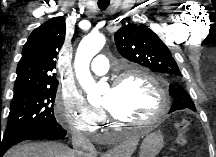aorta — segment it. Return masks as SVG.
<instances>
[{
	"label": "aorta",
	"instance_id": "obj_1",
	"mask_svg": "<svg viewBox=\"0 0 216 157\" xmlns=\"http://www.w3.org/2000/svg\"><path fill=\"white\" fill-rule=\"evenodd\" d=\"M104 44L103 35H88L80 42L75 55L76 77L87 93V99L90 103L101 101V87L93 79L89 66L92 58L103 48Z\"/></svg>",
	"mask_w": 216,
	"mask_h": 157
}]
</instances>
